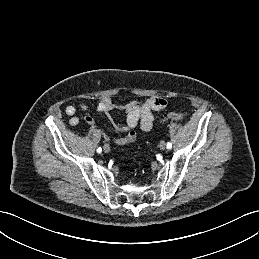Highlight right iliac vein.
Here are the masks:
<instances>
[{"label":"right iliac vein","mask_w":259,"mask_h":259,"mask_svg":"<svg viewBox=\"0 0 259 259\" xmlns=\"http://www.w3.org/2000/svg\"><path fill=\"white\" fill-rule=\"evenodd\" d=\"M103 150H104V152H106V153L110 152V146H109L108 144H105V145L103 146Z\"/></svg>","instance_id":"63e3f726"}]
</instances>
